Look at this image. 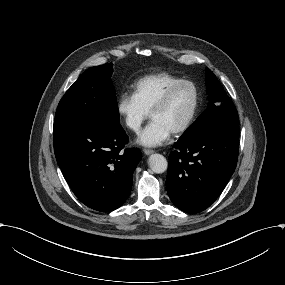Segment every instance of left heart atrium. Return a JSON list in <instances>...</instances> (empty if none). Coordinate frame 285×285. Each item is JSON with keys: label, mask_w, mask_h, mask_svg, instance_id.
Returning a JSON list of instances; mask_svg holds the SVG:
<instances>
[{"label": "left heart atrium", "mask_w": 285, "mask_h": 285, "mask_svg": "<svg viewBox=\"0 0 285 285\" xmlns=\"http://www.w3.org/2000/svg\"><path fill=\"white\" fill-rule=\"evenodd\" d=\"M172 130L157 119H152L148 126L139 135L140 144L148 147H155L168 141Z\"/></svg>", "instance_id": "left-heart-atrium-1"}]
</instances>
